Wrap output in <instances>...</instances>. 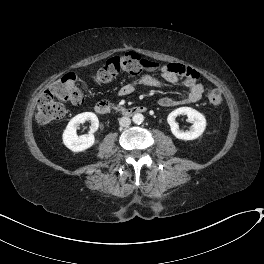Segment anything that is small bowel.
I'll use <instances>...</instances> for the list:
<instances>
[{
    "instance_id": "small-bowel-1",
    "label": "small bowel",
    "mask_w": 264,
    "mask_h": 264,
    "mask_svg": "<svg viewBox=\"0 0 264 264\" xmlns=\"http://www.w3.org/2000/svg\"><path fill=\"white\" fill-rule=\"evenodd\" d=\"M145 65L148 71L159 70L163 80L167 83L187 90V95L183 98L162 97L159 101L161 106L174 107L178 105L192 104L202 98L204 87L197 80L196 73L192 68L179 64L162 65L153 60H147ZM137 86L161 88L163 87V82L153 76L144 75L135 82L122 86L119 89V94L129 95L134 92Z\"/></svg>"
}]
</instances>
